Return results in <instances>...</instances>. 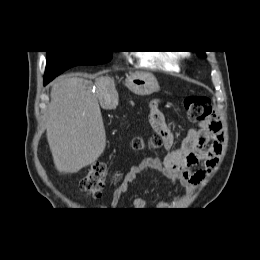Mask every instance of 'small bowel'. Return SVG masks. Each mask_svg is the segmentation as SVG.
<instances>
[{"instance_id":"small-bowel-1","label":"small bowel","mask_w":260,"mask_h":260,"mask_svg":"<svg viewBox=\"0 0 260 260\" xmlns=\"http://www.w3.org/2000/svg\"><path fill=\"white\" fill-rule=\"evenodd\" d=\"M160 105V99L151 102L149 120L154 131L164 136V147L168 150V154L163 159L146 157L132 166L112 193L110 204L112 208L118 206L122 195L128 192L131 185L148 169L160 172L169 184H179L192 191L218 162L223 135L216 118L206 119L198 128L190 129L181 144L176 146L175 137L166 125ZM133 207L139 210L145 209L147 207L145 198L136 197Z\"/></svg>"}]
</instances>
